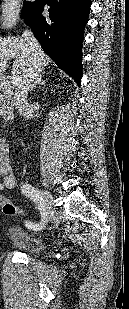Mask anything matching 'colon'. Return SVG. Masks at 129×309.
I'll return each instance as SVG.
<instances>
[{"mask_svg": "<svg viewBox=\"0 0 129 309\" xmlns=\"http://www.w3.org/2000/svg\"><path fill=\"white\" fill-rule=\"evenodd\" d=\"M3 212L5 214H23L24 213V211L21 208L14 206L12 204L6 203V202L3 203Z\"/></svg>", "mask_w": 129, "mask_h": 309, "instance_id": "1", "label": "colon"}]
</instances>
